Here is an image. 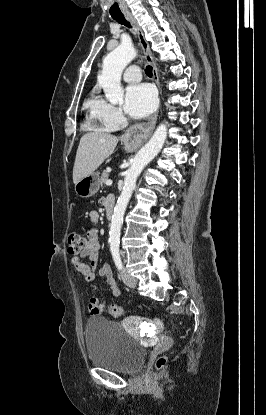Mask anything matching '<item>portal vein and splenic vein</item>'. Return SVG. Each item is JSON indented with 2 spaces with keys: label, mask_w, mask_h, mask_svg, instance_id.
Returning <instances> with one entry per match:
<instances>
[{
  "label": "portal vein and splenic vein",
  "mask_w": 266,
  "mask_h": 415,
  "mask_svg": "<svg viewBox=\"0 0 266 415\" xmlns=\"http://www.w3.org/2000/svg\"><path fill=\"white\" fill-rule=\"evenodd\" d=\"M105 184H106L107 186L112 185V180H111V179L107 180V181L105 182Z\"/></svg>",
  "instance_id": "portal-vein-and-splenic-vein-1"
}]
</instances>
